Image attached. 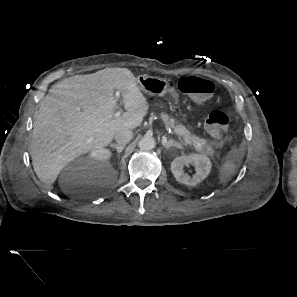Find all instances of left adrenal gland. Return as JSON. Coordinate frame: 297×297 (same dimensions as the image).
<instances>
[{
    "label": "left adrenal gland",
    "mask_w": 297,
    "mask_h": 297,
    "mask_svg": "<svg viewBox=\"0 0 297 297\" xmlns=\"http://www.w3.org/2000/svg\"><path fill=\"white\" fill-rule=\"evenodd\" d=\"M161 143L166 150H168L171 147L182 148V145L173 139H171V140L165 139V140H162Z\"/></svg>",
    "instance_id": "obj_1"
}]
</instances>
